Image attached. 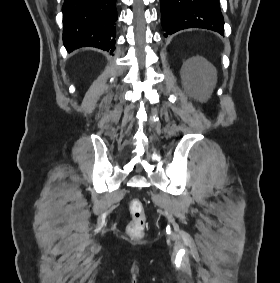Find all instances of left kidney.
Returning a JSON list of instances; mask_svg holds the SVG:
<instances>
[{"label": "left kidney", "instance_id": "1", "mask_svg": "<svg viewBox=\"0 0 280 283\" xmlns=\"http://www.w3.org/2000/svg\"><path fill=\"white\" fill-rule=\"evenodd\" d=\"M197 64V63H200V64H206V62L201 59V58H193L191 60L188 61V64Z\"/></svg>", "mask_w": 280, "mask_h": 283}]
</instances>
